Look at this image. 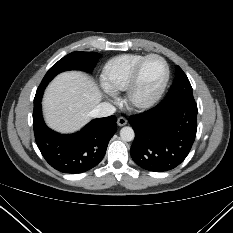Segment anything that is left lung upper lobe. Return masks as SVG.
I'll return each mask as SVG.
<instances>
[{
	"instance_id": "obj_1",
	"label": "left lung upper lobe",
	"mask_w": 233,
	"mask_h": 233,
	"mask_svg": "<svg viewBox=\"0 0 233 233\" xmlns=\"http://www.w3.org/2000/svg\"><path fill=\"white\" fill-rule=\"evenodd\" d=\"M174 99H194L191 84L179 66H176L173 84L161 102H168Z\"/></svg>"
}]
</instances>
